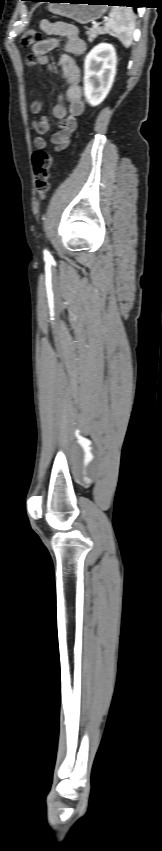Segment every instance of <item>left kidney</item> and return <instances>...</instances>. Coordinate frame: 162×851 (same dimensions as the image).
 <instances>
[{
	"label": "left kidney",
	"instance_id": "5707ae66",
	"mask_svg": "<svg viewBox=\"0 0 162 851\" xmlns=\"http://www.w3.org/2000/svg\"><path fill=\"white\" fill-rule=\"evenodd\" d=\"M117 57L111 44L95 46L84 61V96L91 106L99 105L108 95L116 74Z\"/></svg>",
	"mask_w": 162,
	"mask_h": 851
}]
</instances>
